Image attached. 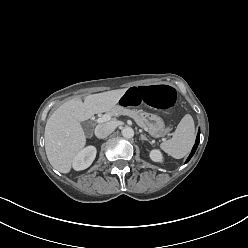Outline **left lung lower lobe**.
<instances>
[{"mask_svg":"<svg viewBox=\"0 0 248 248\" xmlns=\"http://www.w3.org/2000/svg\"><path fill=\"white\" fill-rule=\"evenodd\" d=\"M199 141H200V132H199L198 135H197V138H196V141H195V145H194V147H193V149H192L191 154H190L189 157L187 158L186 163H187V162L191 159V157L194 155V153H195V151H196V149H197V147H198Z\"/></svg>","mask_w":248,"mask_h":248,"instance_id":"0a47b994","label":"left lung lower lobe"}]
</instances>
